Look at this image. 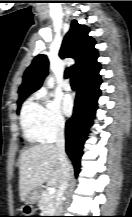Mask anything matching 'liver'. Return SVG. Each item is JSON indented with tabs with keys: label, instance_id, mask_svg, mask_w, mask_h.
<instances>
[{
	"label": "liver",
	"instance_id": "obj_1",
	"mask_svg": "<svg viewBox=\"0 0 132 217\" xmlns=\"http://www.w3.org/2000/svg\"><path fill=\"white\" fill-rule=\"evenodd\" d=\"M63 181L56 146L39 144L24 150L19 159V192L21 201L43 183L59 187Z\"/></svg>",
	"mask_w": 132,
	"mask_h": 217
}]
</instances>
